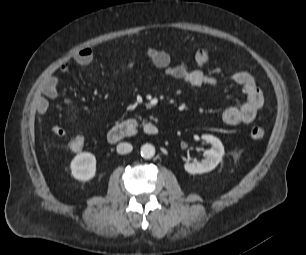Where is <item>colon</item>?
<instances>
[{
    "label": "colon",
    "instance_id": "1",
    "mask_svg": "<svg viewBox=\"0 0 306 255\" xmlns=\"http://www.w3.org/2000/svg\"><path fill=\"white\" fill-rule=\"evenodd\" d=\"M264 135H265V130L260 125H255L250 130V136L254 140H259L263 138ZM84 144H85L84 138L82 136H76L68 143V148L71 152L77 153L82 150Z\"/></svg>",
    "mask_w": 306,
    "mask_h": 255
}]
</instances>
